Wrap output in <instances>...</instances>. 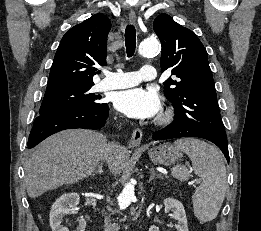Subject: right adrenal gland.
Wrapping results in <instances>:
<instances>
[{
  "mask_svg": "<svg viewBox=\"0 0 261 231\" xmlns=\"http://www.w3.org/2000/svg\"><path fill=\"white\" fill-rule=\"evenodd\" d=\"M103 162H101L99 165H98V168L97 170L91 175L92 177L95 176L96 174H100L102 175L103 174Z\"/></svg>",
  "mask_w": 261,
  "mask_h": 231,
  "instance_id": "2a0ac1e0",
  "label": "right adrenal gland"
}]
</instances>
